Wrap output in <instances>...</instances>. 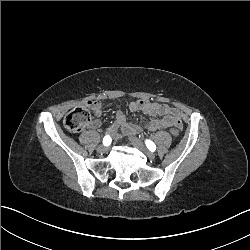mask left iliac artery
Returning a JSON list of instances; mask_svg holds the SVG:
<instances>
[{"mask_svg": "<svg viewBox=\"0 0 250 250\" xmlns=\"http://www.w3.org/2000/svg\"><path fill=\"white\" fill-rule=\"evenodd\" d=\"M145 144L150 151L154 152L156 150V145L151 140H146Z\"/></svg>", "mask_w": 250, "mask_h": 250, "instance_id": "left-iliac-artery-1", "label": "left iliac artery"}]
</instances>
